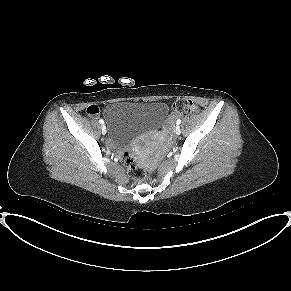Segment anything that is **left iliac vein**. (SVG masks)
Here are the masks:
<instances>
[{"label":"left iliac vein","mask_w":291,"mask_h":291,"mask_svg":"<svg viewBox=\"0 0 291 291\" xmlns=\"http://www.w3.org/2000/svg\"><path fill=\"white\" fill-rule=\"evenodd\" d=\"M175 133H176L177 135H179V134L181 133V129H180L179 126L176 127V129H175Z\"/></svg>","instance_id":"left-iliac-vein-1"}]
</instances>
